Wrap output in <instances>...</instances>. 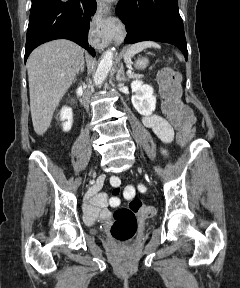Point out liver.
<instances>
[{"label":"liver","instance_id":"liver-1","mask_svg":"<svg viewBox=\"0 0 240 288\" xmlns=\"http://www.w3.org/2000/svg\"><path fill=\"white\" fill-rule=\"evenodd\" d=\"M84 61V50L66 39L36 48L27 61L30 109L34 131L43 135L53 113Z\"/></svg>","mask_w":240,"mask_h":288}]
</instances>
